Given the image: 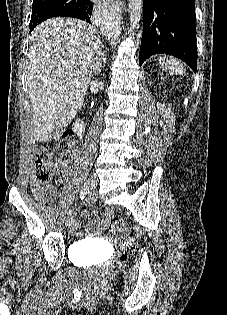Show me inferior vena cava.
Returning <instances> with one entry per match:
<instances>
[{
	"mask_svg": "<svg viewBox=\"0 0 227 315\" xmlns=\"http://www.w3.org/2000/svg\"><path fill=\"white\" fill-rule=\"evenodd\" d=\"M96 70H100V65L97 63V66L95 67Z\"/></svg>",
	"mask_w": 227,
	"mask_h": 315,
	"instance_id": "602c4592",
	"label": "inferior vena cava"
}]
</instances>
